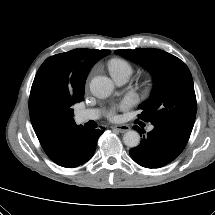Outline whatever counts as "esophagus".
Returning <instances> with one entry per match:
<instances>
[{
	"label": "esophagus",
	"instance_id": "1",
	"mask_svg": "<svg viewBox=\"0 0 215 215\" xmlns=\"http://www.w3.org/2000/svg\"><path fill=\"white\" fill-rule=\"evenodd\" d=\"M112 128L119 131L120 133H125L130 130V127L128 125H115Z\"/></svg>",
	"mask_w": 215,
	"mask_h": 215
}]
</instances>
